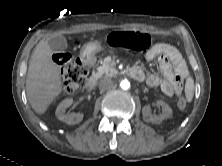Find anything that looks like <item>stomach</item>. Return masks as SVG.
Masks as SVG:
<instances>
[{
	"instance_id": "1",
	"label": "stomach",
	"mask_w": 222,
	"mask_h": 166,
	"mask_svg": "<svg viewBox=\"0 0 222 166\" xmlns=\"http://www.w3.org/2000/svg\"><path fill=\"white\" fill-rule=\"evenodd\" d=\"M102 50V45L100 42H90L85 45L83 50V55L85 57H91L94 56L97 52Z\"/></svg>"
}]
</instances>
